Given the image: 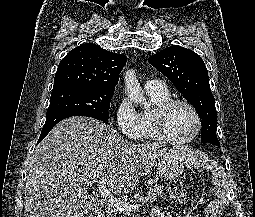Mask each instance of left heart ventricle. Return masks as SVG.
Returning <instances> with one entry per match:
<instances>
[{"instance_id":"left-heart-ventricle-1","label":"left heart ventricle","mask_w":255,"mask_h":217,"mask_svg":"<svg viewBox=\"0 0 255 217\" xmlns=\"http://www.w3.org/2000/svg\"><path fill=\"white\" fill-rule=\"evenodd\" d=\"M197 126L196 118L192 111L183 104L171 108L166 118L168 133L176 139L188 138Z\"/></svg>"}]
</instances>
